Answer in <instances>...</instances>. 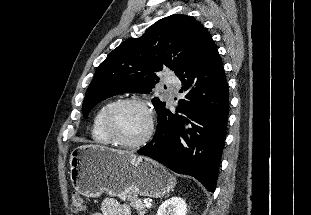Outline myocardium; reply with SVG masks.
Here are the masks:
<instances>
[{
    "label": "myocardium",
    "mask_w": 311,
    "mask_h": 215,
    "mask_svg": "<svg viewBox=\"0 0 311 215\" xmlns=\"http://www.w3.org/2000/svg\"><path fill=\"white\" fill-rule=\"evenodd\" d=\"M128 105L142 107L148 115V128L145 135L138 141L128 142L123 140L116 132L114 120L118 111ZM103 128L111 141L121 147L136 149L144 146L152 137L154 131L153 112L148 103L141 98H125L114 102L106 111L103 119Z\"/></svg>",
    "instance_id": "obj_1"
}]
</instances>
